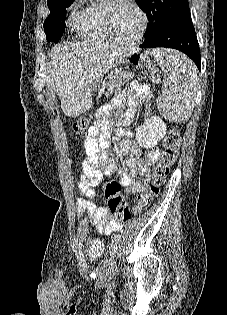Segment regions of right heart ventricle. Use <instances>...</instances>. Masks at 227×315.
Here are the masks:
<instances>
[{"label":"right heart ventricle","mask_w":227,"mask_h":315,"mask_svg":"<svg viewBox=\"0 0 227 315\" xmlns=\"http://www.w3.org/2000/svg\"><path fill=\"white\" fill-rule=\"evenodd\" d=\"M107 0L85 4L77 8L71 17V23L76 33L86 41H112L104 25V6Z\"/></svg>","instance_id":"e07e8e85"}]
</instances>
